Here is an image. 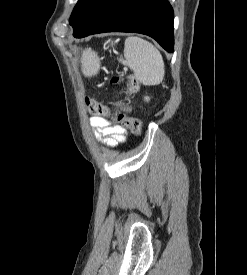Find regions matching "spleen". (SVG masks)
Wrapping results in <instances>:
<instances>
[{"instance_id": "obj_1", "label": "spleen", "mask_w": 247, "mask_h": 275, "mask_svg": "<svg viewBox=\"0 0 247 275\" xmlns=\"http://www.w3.org/2000/svg\"><path fill=\"white\" fill-rule=\"evenodd\" d=\"M124 57L119 61L127 65L136 79L145 86L158 85L165 74L160 51L150 42L135 36L125 40Z\"/></svg>"}]
</instances>
